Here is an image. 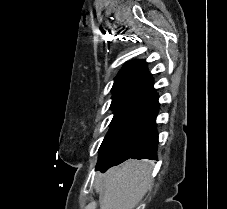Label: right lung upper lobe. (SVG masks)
<instances>
[{
	"mask_svg": "<svg viewBox=\"0 0 227 209\" xmlns=\"http://www.w3.org/2000/svg\"><path fill=\"white\" fill-rule=\"evenodd\" d=\"M111 108L121 101L154 109L159 105L158 96L153 88V78L144 60L128 62L120 70L112 87Z\"/></svg>",
	"mask_w": 227,
	"mask_h": 209,
	"instance_id": "1",
	"label": "right lung upper lobe"
}]
</instances>
